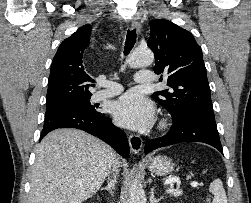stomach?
I'll return each mask as SVG.
<instances>
[{"mask_svg":"<svg viewBox=\"0 0 251 203\" xmlns=\"http://www.w3.org/2000/svg\"><path fill=\"white\" fill-rule=\"evenodd\" d=\"M147 165L152 173L162 176L171 173L175 164L167 156H157L150 159Z\"/></svg>","mask_w":251,"mask_h":203,"instance_id":"stomach-1","label":"stomach"}]
</instances>
